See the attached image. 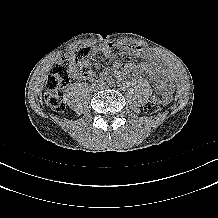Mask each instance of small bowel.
<instances>
[{"label":"small bowel","mask_w":218,"mask_h":218,"mask_svg":"<svg viewBox=\"0 0 218 218\" xmlns=\"http://www.w3.org/2000/svg\"><path fill=\"white\" fill-rule=\"evenodd\" d=\"M82 49L86 50L85 56L72 68V76L75 79L88 80L93 77L94 71L91 69V55L101 52L113 61L112 68H105L103 70L104 75L112 74L115 78L121 81L128 73L150 74L153 77L157 90L163 94L164 102L169 103L172 101L173 83L170 71L155 52L137 45H129L125 47L126 55L141 57L146 60V62L137 65L134 63H119L113 53V44L109 42L99 44L92 48Z\"/></svg>","instance_id":"obj_1"}]
</instances>
